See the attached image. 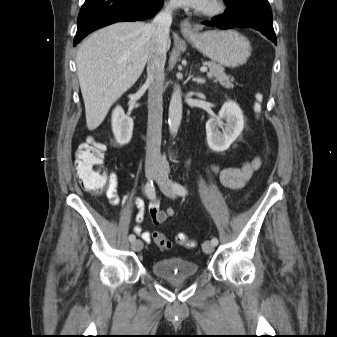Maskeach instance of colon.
Instances as JSON below:
<instances>
[{
  "instance_id": "1",
  "label": "colon",
  "mask_w": 337,
  "mask_h": 337,
  "mask_svg": "<svg viewBox=\"0 0 337 337\" xmlns=\"http://www.w3.org/2000/svg\"><path fill=\"white\" fill-rule=\"evenodd\" d=\"M262 96H256L255 110L260 111V102ZM105 146L101 142L91 138L83 142L76 151L75 169L79 181L83 187L91 192H101L109 182V176L105 170L101 168L104 161ZM157 246L162 250H168L172 244L170 240L162 233L155 232L153 235ZM179 245L186 248H193L195 242L184 233L176 236Z\"/></svg>"
}]
</instances>
